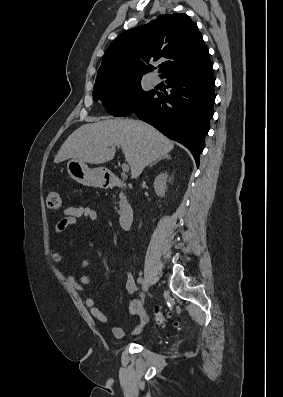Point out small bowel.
<instances>
[{
  "mask_svg": "<svg viewBox=\"0 0 283 397\" xmlns=\"http://www.w3.org/2000/svg\"><path fill=\"white\" fill-rule=\"evenodd\" d=\"M98 217V212L89 206L82 204L68 206L62 210V217L54 225L53 232L55 235H60L67 229L73 227L80 218L96 221ZM50 256L54 263H61L63 261V254L59 248L51 249ZM89 266L90 261L87 259H84L80 262L81 268H87ZM67 282L75 290L83 291L85 286L92 283V279L87 275H82L79 278L68 276ZM126 290L131 295H134L138 292V285L135 282L134 276L130 272L127 274ZM143 302V296H138L130 302L129 313L133 316H137L140 320V324L132 330V334L134 335L140 333L148 321V316L146 315L143 308ZM85 305L88 308L91 316H93L99 322L103 324L110 323V319L97 307L96 300L93 297H87L85 299ZM112 333L116 338L119 339L125 337L126 335V331L122 326H113Z\"/></svg>",
  "mask_w": 283,
  "mask_h": 397,
  "instance_id": "small-bowel-1",
  "label": "small bowel"
}]
</instances>
